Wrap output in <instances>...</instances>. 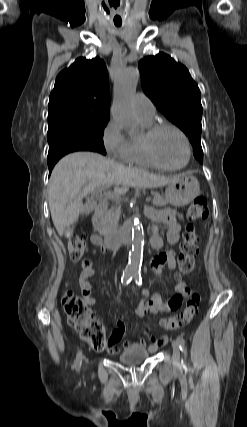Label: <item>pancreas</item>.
<instances>
[{
    "label": "pancreas",
    "instance_id": "obj_1",
    "mask_svg": "<svg viewBox=\"0 0 247 427\" xmlns=\"http://www.w3.org/2000/svg\"><path fill=\"white\" fill-rule=\"evenodd\" d=\"M154 206H164L165 199L159 193H153ZM121 215V204L117 202L109 209L101 210L98 213L99 222L95 224L97 231L105 237L112 235L118 230V222Z\"/></svg>",
    "mask_w": 247,
    "mask_h": 427
}]
</instances>
